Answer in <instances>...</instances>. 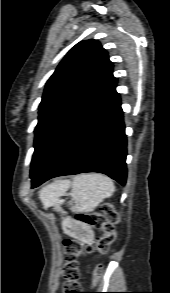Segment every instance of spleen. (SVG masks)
Instances as JSON below:
<instances>
[{"label":"spleen","instance_id":"1","mask_svg":"<svg viewBox=\"0 0 170 293\" xmlns=\"http://www.w3.org/2000/svg\"><path fill=\"white\" fill-rule=\"evenodd\" d=\"M57 184L50 185L54 190ZM48 186V187H50ZM115 186L112 180L102 174H80L72 181L71 201L69 205L72 212H89L96 208L105 198L113 195Z\"/></svg>","mask_w":170,"mask_h":293}]
</instances>
